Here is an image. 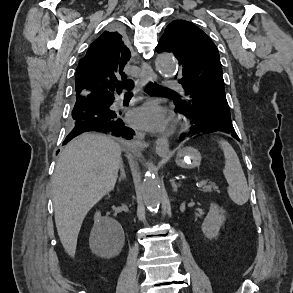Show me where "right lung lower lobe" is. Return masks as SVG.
<instances>
[{
	"label": "right lung lower lobe",
	"instance_id": "right-lung-lower-lobe-1",
	"mask_svg": "<svg viewBox=\"0 0 293 293\" xmlns=\"http://www.w3.org/2000/svg\"><path fill=\"white\" fill-rule=\"evenodd\" d=\"M113 99V93L76 95L72 110L74 126L63 144L65 145L75 136L88 131H98L131 139L134 131L124 126L118 112L110 109Z\"/></svg>",
	"mask_w": 293,
	"mask_h": 293
}]
</instances>
